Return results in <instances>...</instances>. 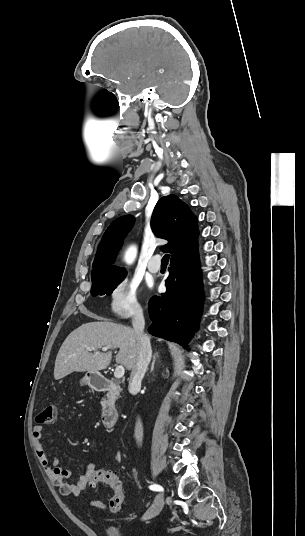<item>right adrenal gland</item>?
Returning <instances> with one entry per match:
<instances>
[{"label": "right adrenal gland", "instance_id": "2a0ac1e0", "mask_svg": "<svg viewBox=\"0 0 305 536\" xmlns=\"http://www.w3.org/2000/svg\"><path fill=\"white\" fill-rule=\"evenodd\" d=\"M157 356H158V352H155V354H154V356H153V362H152V364H151V370H150V372H153V370H154V366H155V362H156V358H157Z\"/></svg>", "mask_w": 305, "mask_h": 536}]
</instances>
